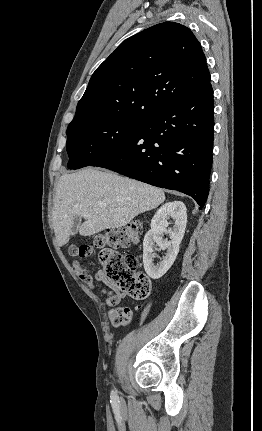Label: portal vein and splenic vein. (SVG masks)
Masks as SVG:
<instances>
[{
	"mask_svg": "<svg viewBox=\"0 0 262 431\" xmlns=\"http://www.w3.org/2000/svg\"><path fill=\"white\" fill-rule=\"evenodd\" d=\"M99 205H100L101 207H106V206H107V204H106L105 202H100V203H99ZM110 210H113V209H110Z\"/></svg>",
	"mask_w": 262,
	"mask_h": 431,
	"instance_id": "obj_1",
	"label": "portal vein and splenic vein"
}]
</instances>
